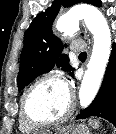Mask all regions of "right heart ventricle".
<instances>
[{
	"label": "right heart ventricle",
	"instance_id": "right-heart-ventricle-1",
	"mask_svg": "<svg viewBox=\"0 0 116 134\" xmlns=\"http://www.w3.org/2000/svg\"><path fill=\"white\" fill-rule=\"evenodd\" d=\"M18 127L22 133H32L37 129V127H34L25 121L20 111L18 115Z\"/></svg>",
	"mask_w": 116,
	"mask_h": 134
}]
</instances>
